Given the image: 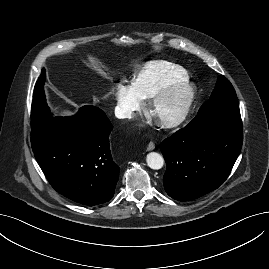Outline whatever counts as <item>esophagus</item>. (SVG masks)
Segmentation results:
<instances>
[{
    "label": "esophagus",
    "instance_id": "1",
    "mask_svg": "<svg viewBox=\"0 0 269 269\" xmlns=\"http://www.w3.org/2000/svg\"><path fill=\"white\" fill-rule=\"evenodd\" d=\"M155 149V145L154 143L150 142L148 145H147V151H152Z\"/></svg>",
    "mask_w": 269,
    "mask_h": 269
}]
</instances>
